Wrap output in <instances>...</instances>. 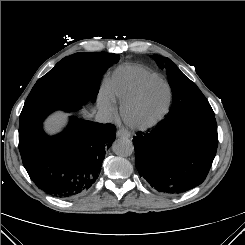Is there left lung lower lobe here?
Listing matches in <instances>:
<instances>
[{"instance_id": "obj_1", "label": "left lung lower lobe", "mask_w": 245, "mask_h": 245, "mask_svg": "<svg viewBox=\"0 0 245 245\" xmlns=\"http://www.w3.org/2000/svg\"><path fill=\"white\" fill-rule=\"evenodd\" d=\"M135 164L151 187L179 194L201 184L218 145L215 114L183 110L133 138Z\"/></svg>"}]
</instances>
